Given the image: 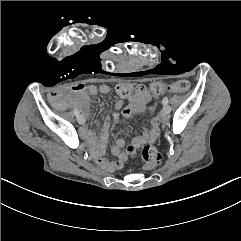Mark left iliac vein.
Listing matches in <instances>:
<instances>
[{"label":"left iliac vein","mask_w":241,"mask_h":241,"mask_svg":"<svg viewBox=\"0 0 241 241\" xmlns=\"http://www.w3.org/2000/svg\"><path fill=\"white\" fill-rule=\"evenodd\" d=\"M170 111H171L170 106L167 105V104H165V105L163 106L162 115H163V116H166V115H168V114L170 113Z\"/></svg>","instance_id":"1"}]
</instances>
